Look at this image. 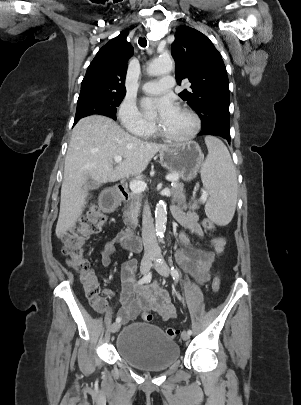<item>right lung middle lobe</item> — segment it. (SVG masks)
Wrapping results in <instances>:
<instances>
[{
  "mask_svg": "<svg viewBox=\"0 0 301 405\" xmlns=\"http://www.w3.org/2000/svg\"><path fill=\"white\" fill-rule=\"evenodd\" d=\"M124 94L87 93L79 95L75 123L88 115L99 114L116 120V107L120 105Z\"/></svg>",
  "mask_w": 301,
  "mask_h": 405,
  "instance_id": "dd1d6c3e",
  "label": "right lung middle lobe"
}]
</instances>
